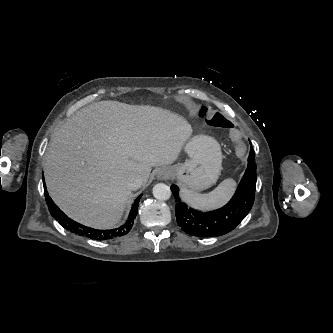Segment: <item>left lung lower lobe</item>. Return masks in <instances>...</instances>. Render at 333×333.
Masks as SVG:
<instances>
[{
  "label": "left lung lower lobe",
  "instance_id": "0a47b994",
  "mask_svg": "<svg viewBox=\"0 0 333 333\" xmlns=\"http://www.w3.org/2000/svg\"><path fill=\"white\" fill-rule=\"evenodd\" d=\"M256 180L255 151L251 146L245 174L232 199L220 209L206 213L194 211L181 202L178 187L172 185L178 225L186 233L197 237L221 236L232 231L253 206Z\"/></svg>",
  "mask_w": 333,
  "mask_h": 333
}]
</instances>
